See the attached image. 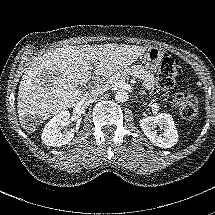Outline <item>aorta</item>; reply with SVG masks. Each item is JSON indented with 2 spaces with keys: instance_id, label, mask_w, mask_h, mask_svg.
I'll use <instances>...</instances> for the list:
<instances>
[{
  "instance_id": "aorta-1",
  "label": "aorta",
  "mask_w": 215,
  "mask_h": 215,
  "mask_svg": "<svg viewBox=\"0 0 215 215\" xmlns=\"http://www.w3.org/2000/svg\"><path fill=\"white\" fill-rule=\"evenodd\" d=\"M114 96H115V100L120 103L126 102L129 99L128 92L124 89H120L116 91Z\"/></svg>"
}]
</instances>
